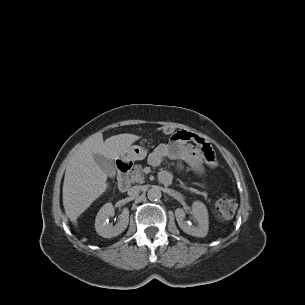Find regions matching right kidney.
Returning <instances> with one entry per match:
<instances>
[{
  "label": "right kidney",
  "mask_w": 305,
  "mask_h": 305,
  "mask_svg": "<svg viewBox=\"0 0 305 305\" xmlns=\"http://www.w3.org/2000/svg\"><path fill=\"white\" fill-rule=\"evenodd\" d=\"M114 215V207L112 203H106L99 210L96 220V232L103 238H112L121 234L128 226L129 210L124 208L119 215V222L115 225L109 223V217Z\"/></svg>",
  "instance_id": "ca27d5eb"
}]
</instances>
